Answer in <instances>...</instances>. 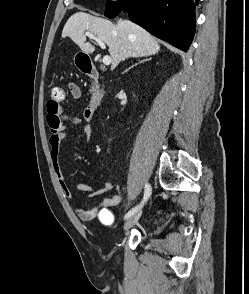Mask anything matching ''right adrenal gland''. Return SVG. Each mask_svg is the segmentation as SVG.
I'll return each instance as SVG.
<instances>
[{
    "mask_svg": "<svg viewBox=\"0 0 249 294\" xmlns=\"http://www.w3.org/2000/svg\"><path fill=\"white\" fill-rule=\"evenodd\" d=\"M149 60H151V58L141 60V61H139L138 63H136V64L132 65L131 67H129L126 71H128V70L131 69V68H133L134 66H137V65L140 64V63H143V62H146V61H149Z\"/></svg>",
    "mask_w": 249,
    "mask_h": 294,
    "instance_id": "obj_1",
    "label": "right adrenal gland"
}]
</instances>
